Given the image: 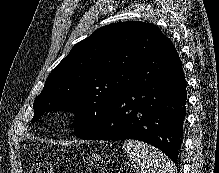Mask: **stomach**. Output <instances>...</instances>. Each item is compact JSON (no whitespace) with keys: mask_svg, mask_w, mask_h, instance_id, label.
I'll return each instance as SVG.
<instances>
[{"mask_svg":"<svg viewBox=\"0 0 219 173\" xmlns=\"http://www.w3.org/2000/svg\"><path fill=\"white\" fill-rule=\"evenodd\" d=\"M100 157H98L97 155L93 154V155H89L87 157H85V161L89 162L91 165H93L94 163H96L97 161H99Z\"/></svg>","mask_w":219,"mask_h":173,"instance_id":"stomach-1","label":"stomach"}]
</instances>
